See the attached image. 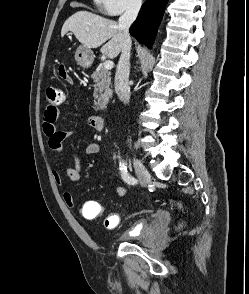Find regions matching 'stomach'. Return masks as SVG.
<instances>
[{
  "label": "stomach",
  "mask_w": 249,
  "mask_h": 294,
  "mask_svg": "<svg viewBox=\"0 0 249 294\" xmlns=\"http://www.w3.org/2000/svg\"><path fill=\"white\" fill-rule=\"evenodd\" d=\"M94 53L90 48L79 46L75 52V60L82 68H88L92 65Z\"/></svg>",
  "instance_id": "obj_1"
}]
</instances>
